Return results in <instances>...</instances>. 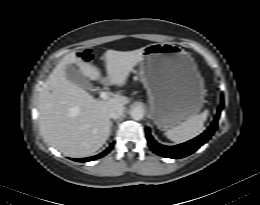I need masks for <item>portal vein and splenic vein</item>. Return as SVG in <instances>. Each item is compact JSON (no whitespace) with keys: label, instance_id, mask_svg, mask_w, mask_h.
I'll list each match as a JSON object with an SVG mask.
<instances>
[{"label":"portal vein and splenic vein","instance_id":"obj_1","mask_svg":"<svg viewBox=\"0 0 260 205\" xmlns=\"http://www.w3.org/2000/svg\"><path fill=\"white\" fill-rule=\"evenodd\" d=\"M100 98L103 100H107L109 98V94L105 91L100 92Z\"/></svg>","mask_w":260,"mask_h":205}]
</instances>
